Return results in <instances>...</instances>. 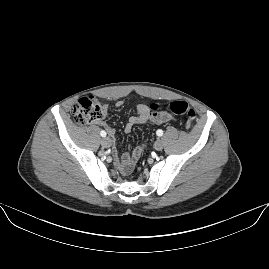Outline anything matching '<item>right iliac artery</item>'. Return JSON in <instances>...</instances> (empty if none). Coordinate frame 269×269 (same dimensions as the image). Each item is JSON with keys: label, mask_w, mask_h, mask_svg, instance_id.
Listing matches in <instances>:
<instances>
[{"label": "right iliac artery", "mask_w": 269, "mask_h": 269, "mask_svg": "<svg viewBox=\"0 0 269 269\" xmlns=\"http://www.w3.org/2000/svg\"><path fill=\"white\" fill-rule=\"evenodd\" d=\"M100 135H101L102 137H105V136H106V132L102 130V131L100 132Z\"/></svg>", "instance_id": "obj_1"}]
</instances>
